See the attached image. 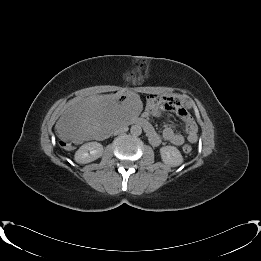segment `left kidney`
<instances>
[{"label":"left kidney","instance_id":"obj_1","mask_svg":"<svg viewBox=\"0 0 261 261\" xmlns=\"http://www.w3.org/2000/svg\"><path fill=\"white\" fill-rule=\"evenodd\" d=\"M162 161L171 167H177L182 164L183 157L180 151L174 146H163L160 148Z\"/></svg>","mask_w":261,"mask_h":261}]
</instances>
